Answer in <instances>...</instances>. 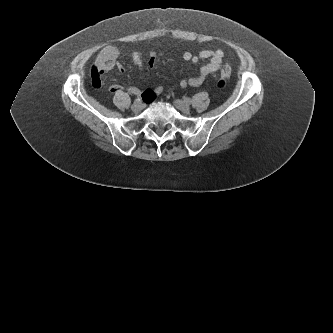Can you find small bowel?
Masks as SVG:
<instances>
[{
    "label": "small bowel",
    "instance_id": "obj_1",
    "mask_svg": "<svg viewBox=\"0 0 333 333\" xmlns=\"http://www.w3.org/2000/svg\"><path fill=\"white\" fill-rule=\"evenodd\" d=\"M120 51L117 46L109 45L101 50L95 63L91 68V83L95 88L101 86V77L103 73H106L114 68L123 71V67L118 62ZM157 54L155 52L149 55V64L153 66L155 64ZM224 53L220 49H206L201 51L199 54H192L190 52H184L182 58L186 62L198 63L200 60H208V62L203 65L198 72L197 76L184 78L179 81V86L181 88H186L188 86L197 87L200 86L208 75L218 71L221 67ZM132 62L134 65L142 68L144 65L143 57L138 52H133L131 54ZM121 87L117 84L111 85L109 91L111 93H116ZM162 87H156L155 89H148L141 93V91L134 86L127 88V91L133 95H141L143 101L148 102L150 100L156 101L160 97L162 92Z\"/></svg>",
    "mask_w": 333,
    "mask_h": 333
}]
</instances>
